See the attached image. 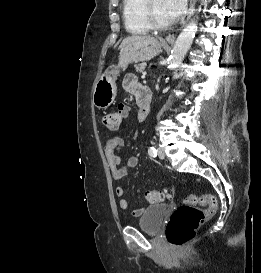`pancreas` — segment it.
I'll return each mask as SVG.
<instances>
[{"instance_id": "cf45deb5", "label": "pancreas", "mask_w": 261, "mask_h": 273, "mask_svg": "<svg viewBox=\"0 0 261 273\" xmlns=\"http://www.w3.org/2000/svg\"><path fill=\"white\" fill-rule=\"evenodd\" d=\"M146 65H147L146 63H140V64H138V65L135 66V70L137 72L142 73L145 70Z\"/></svg>"}]
</instances>
